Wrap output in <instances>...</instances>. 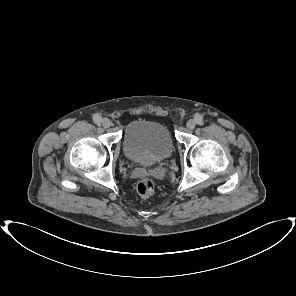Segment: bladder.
I'll list each match as a JSON object with an SVG mask.
<instances>
[{"instance_id": "obj_1", "label": "bladder", "mask_w": 296, "mask_h": 296, "mask_svg": "<svg viewBox=\"0 0 296 296\" xmlns=\"http://www.w3.org/2000/svg\"><path fill=\"white\" fill-rule=\"evenodd\" d=\"M122 147L129 160L148 166L169 158L174 144L165 124L139 119L126 126Z\"/></svg>"}]
</instances>
